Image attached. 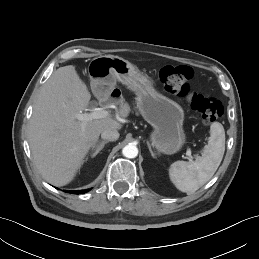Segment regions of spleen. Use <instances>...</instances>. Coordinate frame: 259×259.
I'll use <instances>...</instances> for the list:
<instances>
[{
    "label": "spleen",
    "instance_id": "3e777b00",
    "mask_svg": "<svg viewBox=\"0 0 259 259\" xmlns=\"http://www.w3.org/2000/svg\"><path fill=\"white\" fill-rule=\"evenodd\" d=\"M225 151V131L221 123L210 126L208 144L195 161H176L170 165L169 177L181 192L192 194L206 184L218 169Z\"/></svg>",
    "mask_w": 259,
    "mask_h": 259
}]
</instances>
